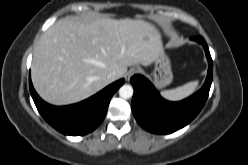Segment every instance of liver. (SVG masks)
I'll return each mask as SVG.
<instances>
[{
  "label": "liver",
  "instance_id": "6515ba94",
  "mask_svg": "<svg viewBox=\"0 0 248 165\" xmlns=\"http://www.w3.org/2000/svg\"><path fill=\"white\" fill-rule=\"evenodd\" d=\"M162 50L161 33L144 20L64 18L38 41L32 82L46 102L73 104L109 85L111 71L120 78L128 66L150 65Z\"/></svg>",
  "mask_w": 248,
  "mask_h": 165
}]
</instances>
